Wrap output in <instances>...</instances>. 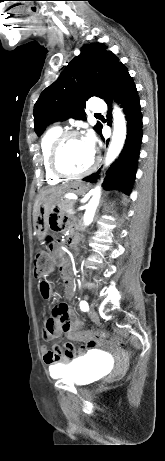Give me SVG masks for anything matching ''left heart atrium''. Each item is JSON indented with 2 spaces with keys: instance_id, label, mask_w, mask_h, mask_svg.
Listing matches in <instances>:
<instances>
[{
  "instance_id": "obj_1",
  "label": "left heart atrium",
  "mask_w": 165,
  "mask_h": 461,
  "mask_svg": "<svg viewBox=\"0 0 165 461\" xmlns=\"http://www.w3.org/2000/svg\"><path fill=\"white\" fill-rule=\"evenodd\" d=\"M83 139L85 140L88 147L94 152L95 141H94L93 136L91 134H88L85 137H83Z\"/></svg>"
}]
</instances>
